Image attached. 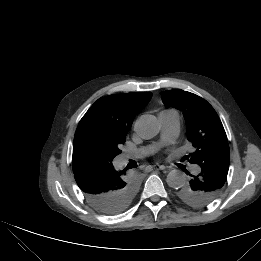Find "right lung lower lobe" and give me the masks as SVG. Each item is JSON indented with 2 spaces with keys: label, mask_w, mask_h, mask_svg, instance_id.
<instances>
[{
  "label": "right lung lower lobe",
  "mask_w": 261,
  "mask_h": 261,
  "mask_svg": "<svg viewBox=\"0 0 261 261\" xmlns=\"http://www.w3.org/2000/svg\"><path fill=\"white\" fill-rule=\"evenodd\" d=\"M123 172L116 170L112 162L73 159V173L77 185L90 205L103 214L121 213L131 204L125 202L124 190L130 180Z\"/></svg>",
  "instance_id": "right-lung-lower-lobe-1"
}]
</instances>
